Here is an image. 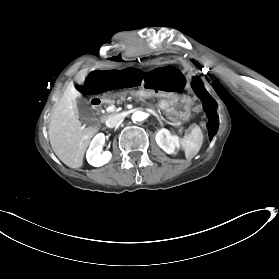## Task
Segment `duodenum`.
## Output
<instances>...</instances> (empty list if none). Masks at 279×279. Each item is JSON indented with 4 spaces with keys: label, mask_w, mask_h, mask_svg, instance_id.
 Segmentation results:
<instances>
[{
    "label": "duodenum",
    "mask_w": 279,
    "mask_h": 279,
    "mask_svg": "<svg viewBox=\"0 0 279 279\" xmlns=\"http://www.w3.org/2000/svg\"><path fill=\"white\" fill-rule=\"evenodd\" d=\"M147 96H157V90L146 91V92H136L135 98L147 97ZM88 104L91 106L92 110L95 112H100L104 108L103 99L98 94H91L88 97Z\"/></svg>",
    "instance_id": "410a0bca"
}]
</instances>
